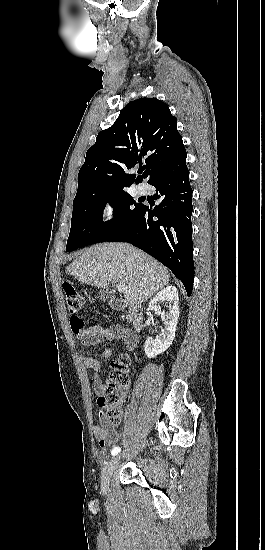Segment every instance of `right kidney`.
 <instances>
[{
    "mask_svg": "<svg viewBox=\"0 0 265 550\" xmlns=\"http://www.w3.org/2000/svg\"><path fill=\"white\" fill-rule=\"evenodd\" d=\"M161 303H165L168 312H162ZM149 309L155 311L157 315H161L164 322V329L156 338L147 339L144 345V351L148 358H155L157 355L165 352L175 337L176 326L179 318V297L177 288L167 286L159 291L150 301Z\"/></svg>",
    "mask_w": 265,
    "mask_h": 550,
    "instance_id": "obj_1",
    "label": "right kidney"
}]
</instances>
